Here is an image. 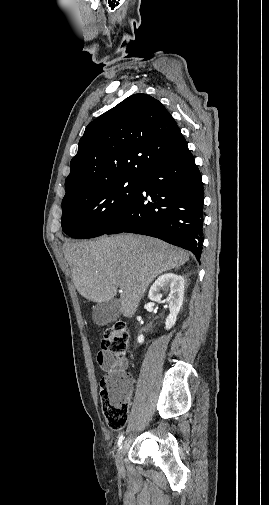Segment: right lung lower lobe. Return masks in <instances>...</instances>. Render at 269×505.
<instances>
[{"label": "right lung lower lobe", "mask_w": 269, "mask_h": 505, "mask_svg": "<svg viewBox=\"0 0 269 505\" xmlns=\"http://www.w3.org/2000/svg\"><path fill=\"white\" fill-rule=\"evenodd\" d=\"M138 180L137 195L105 234L130 232L156 237L191 251L200 261L203 183L188 147L157 162Z\"/></svg>", "instance_id": "98d812e1"}]
</instances>
